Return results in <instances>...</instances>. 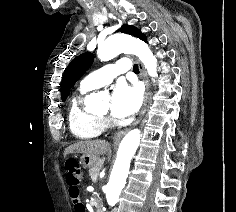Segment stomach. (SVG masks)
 Wrapping results in <instances>:
<instances>
[{
  "mask_svg": "<svg viewBox=\"0 0 236 212\" xmlns=\"http://www.w3.org/2000/svg\"><path fill=\"white\" fill-rule=\"evenodd\" d=\"M97 162H98V157L96 156L89 155V154H83L81 156L80 163L85 168H92Z\"/></svg>",
  "mask_w": 236,
  "mask_h": 212,
  "instance_id": "0dacf381",
  "label": "stomach"
}]
</instances>
